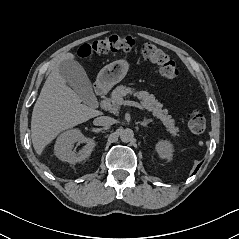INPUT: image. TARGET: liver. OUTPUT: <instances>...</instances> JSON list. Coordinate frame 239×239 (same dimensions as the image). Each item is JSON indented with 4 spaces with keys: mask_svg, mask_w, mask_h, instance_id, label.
<instances>
[{
    "mask_svg": "<svg viewBox=\"0 0 239 239\" xmlns=\"http://www.w3.org/2000/svg\"><path fill=\"white\" fill-rule=\"evenodd\" d=\"M74 59L72 53L63 54L47 77L34 105L31 119V138L38 155L60 132L100 115L85 104L81 97L66 85L60 75L59 63Z\"/></svg>",
    "mask_w": 239,
    "mask_h": 239,
    "instance_id": "liver-1",
    "label": "liver"
}]
</instances>
